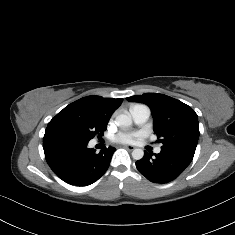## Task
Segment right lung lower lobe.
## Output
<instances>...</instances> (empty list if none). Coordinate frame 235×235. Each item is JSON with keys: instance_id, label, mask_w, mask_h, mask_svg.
I'll use <instances>...</instances> for the list:
<instances>
[{"instance_id": "98d812e1", "label": "right lung lower lobe", "mask_w": 235, "mask_h": 235, "mask_svg": "<svg viewBox=\"0 0 235 235\" xmlns=\"http://www.w3.org/2000/svg\"><path fill=\"white\" fill-rule=\"evenodd\" d=\"M89 141L53 128L45 131L43 148L52 171L63 181L76 186H87L97 181L108 169L115 148L96 153L87 148Z\"/></svg>"}]
</instances>
